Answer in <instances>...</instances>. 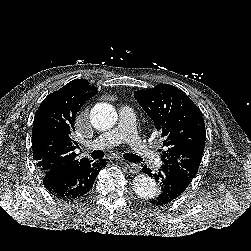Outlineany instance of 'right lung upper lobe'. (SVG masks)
<instances>
[{
  "label": "right lung upper lobe",
  "mask_w": 251,
  "mask_h": 251,
  "mask_svg": "<svg viewBox=\"0 0 251 251\" xmlns=\"http://www.w3.org/2000/svg\"><path fill=\"white\" fill-rule=\"evenodd\" d=\"M96 94L84 79H75L49 94L41 103L33 122L32 149L44 177L68 167L92 162L77 160L78 147L70 133L75 131L74 120L84 103Z\"/></svg>",
  "instance_id": "cb5924a9"
}]
</instances>
